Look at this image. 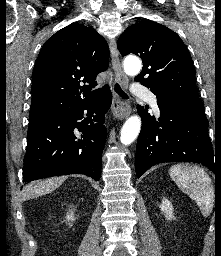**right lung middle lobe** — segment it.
I'll return each instance as SVG.
<instances>
[{
    "label": "right lung middle lobe",
    "mask_w": 221,
    "mask_h": 256,
    "mask_svg": "<svg viewBox=\"0 0 221 256\" xmlns=\"http://www.w3.org/2000/svg\"><path fill=\"white\" fill-rule=\"evenodd\" d=\"M37 118V116H30V118H29V122L30 123H34V122H37V121H33V120H35Z\"/></svg>",
    "instance_id": "1"
}]
</instances>
